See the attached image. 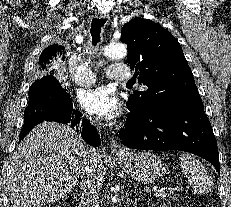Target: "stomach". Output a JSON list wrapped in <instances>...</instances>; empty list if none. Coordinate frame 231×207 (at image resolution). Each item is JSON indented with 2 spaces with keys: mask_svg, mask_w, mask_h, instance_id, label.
<instances>
[{
  "mask_svg": "<svg viewBox=\"0 0 231 207\" xmlns=\"http://www.w3.org/2000/svg\"><path fill=\"white\" fill-rule=\"evenodd\" d=\"M121 168L134 180L150 184L162 178L166 173V165L150 152H125L117 154Z\"/></svg>",
  "mask_w": 231,
  "mask_h": 207,
  "instance_id": "0dacf381",
  "label": "stomach"
}]
</instances>
